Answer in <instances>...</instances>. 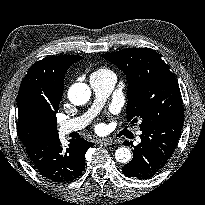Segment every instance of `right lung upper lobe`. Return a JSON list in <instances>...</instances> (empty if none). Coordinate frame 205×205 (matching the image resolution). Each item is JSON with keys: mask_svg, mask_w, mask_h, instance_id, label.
Wrapping results in <instances>:
<instances>
[{"mask_svg": "<svg viewBox=\"0 0 205 205\" xmlns=\"http://www.w3.org/2000/svg\"><path fill=\"white\" fill-rule=\"evenodd\" d=\"M77 55L51 56L35 62L23 78L17 97L18 134L23 144L58 135L56 113L68 68Z\"/></svg>", "mask_w": 205, "mask_h": 205, "instance_id": "cb5924a9", "label": "right lung upper lobe"}]
</instances>
